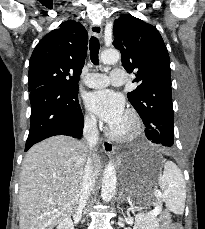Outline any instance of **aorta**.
Listing matches in <instances>:
<instances>
[{
    "mask_svg": "<svg viewBox=\"0 0 205 229\" xmlns=\"http://www.w3.org/2000/svg\"><path fill=\"white\" fill-rule=\"evenodd\" d=\"M101 62L104 64H114L120 60V53L116 49H107L101 53ZM117 186L116 169L110 161L103 172L101 197L105 202H109L115 194Z\"/></svg>",
    "mask_w": 205,
    "mask_h": 229,
    "instance_id": "762f6f07",
    "label": "aorta"
}]
</instances>
